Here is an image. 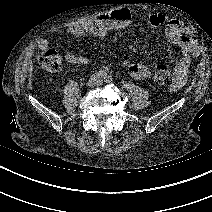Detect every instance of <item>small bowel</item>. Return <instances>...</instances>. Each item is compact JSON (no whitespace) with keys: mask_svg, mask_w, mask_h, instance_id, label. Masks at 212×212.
Here are the masks:
<instances>
[{"mask_svg":"<svg viewBox=\"0 0 212 212\" xmlns=\"http://www.w3.org/2000/svg\"><path fill=\"white\" fill-rule=\"evenodd\" d=\"M135 10L128 7H120L108 13H102L95 18L86 19L81 22H74L64 28V32L78 37L103 38L109 32L121 30L128 26ZM149 24L153 27H160L166 24L165 35L170 43L177 46L180 58L174 69V79L170 85V90L175 91L181 88L188 77L191 59L198 54L195 40L186 32L187 23L179 18H168L163 14H152L148 18ZM41 50L49 47V42L45 38H40L37 42ZM66 61L75 65H87L90 59L80 56L70 50L64 51ZM129 74L135 79H145L149 76L150 68L145 62H132L127 66Z\"/></svg>","mask_w":212,"mask_h":212,"instance_id":"small-bowel-1","label":"small bowel"}]
</instances>
